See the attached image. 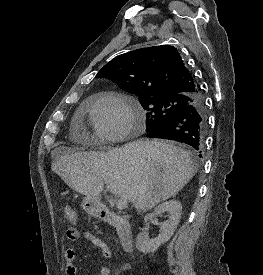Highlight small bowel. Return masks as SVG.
Here are the masks:
<instances>
[{
	"label": "small bowel",
	"instance_id": "1",
	"mask_svg": "<svg viewBox=\"0 0 263 275\" xmlns=\"http://www.w3.org/2000/svg\"><path fill=\"white\" fill-rule=\"evenodd\" d=\"M66 236L71 241L85 240L98 248L102 255L106 258H110L112 255L111 248L99 237L91 232H81L78 229L71 227L67 230ZM75 251L73 248H67L64 252L65 260V273L66 275H77V268L74 265ZM110 268L108 266H101L98 275H109Z\"/></svg>",
	"mask_w": 263,
	"mask_h": 275
}]
</instances>
